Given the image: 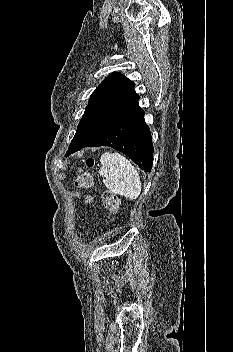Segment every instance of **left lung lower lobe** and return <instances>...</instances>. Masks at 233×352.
<instances>
[{
	"instance_id": "left-lung-lower-lobe-1",
	"label": "left lung lower lobe",
	"mask_w": 233,
	"mask_h": 352,
	"mask_svg": "<svg viewBox=\"0 0 233 352\" xmlns=\"http://www.w3.org/2000/svg\"><path fill=\"white\" fill-rule=\"evenodd\" d=\"M144 114L140 107L136 108L81 148L112 147L132 159L141 169L150 172L153 163V144ZM69 155L66 153V156Z\"/></svg>"
}]
</instances>
